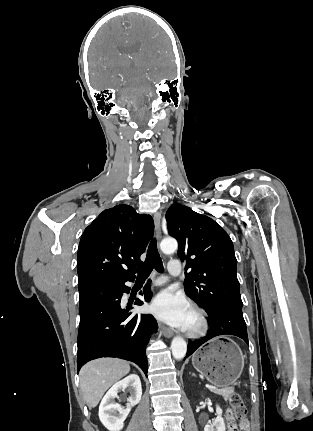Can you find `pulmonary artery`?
<instances>
[{"mask_svg": "<svg viewBox=\"0 0 313 431\" xmlns=\"http://www.w3.org/2000/svg\"><path fill=\"white\" fill-rule=\"evenodd\" d=\"M168 271L172 276H177L180 274L181 272V265L180 262L178 260H170L168 262ZM163 283H165V279L164 278H159L155 281V285L159 286L162 285Z\"/></svg>", "mask_w": 313, "mask_h": 431, "instance_id": "pulmonary-artery-1", "label": "pulmonary artery"}]
</instances>
